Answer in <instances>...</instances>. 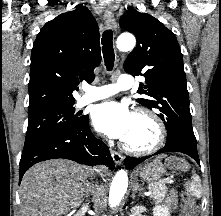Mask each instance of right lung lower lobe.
I'll use <instances>...</instances> for the list:
<instances>
[{
  "mask_svg": "<svg viewBox=\"0 0 221 216\" xmlns=\"http://www.w3.org/2000/svg\"><path fill=\"white\" fill-rule=\"evenodd\" d=\"M55 158L70 159L89 166L106 164L110 169L115 167L108 146L91 133L88 116H83V120L77 125L24 148L20 160L19 182L32 165Z\"/></svg>",
  "mask_w": 221,
  "mask_h": 216,
  "instance_id": "98d812e1",
  "label": "right lung lower lobe"
}]
</instances>
